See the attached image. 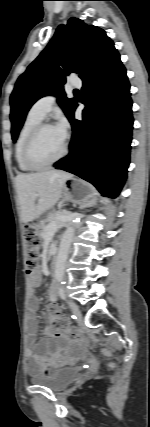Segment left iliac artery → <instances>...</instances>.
I'll return each instance as SVG.
<instances>
[{
	"mask_svg": "<svg viewBox=\"0 0 150 427\" xmlns=\"http://www.w3.org/2000/svg\"><path fill=\"white\" fill-rule=\"evenodd\" d=\"M58 294H59L61 299H66V294H65V290H64L63 286L58 287ZM74 318H75V316H74Z\"/></svg>",
	"mask_w": 150,
	"mask_h": 427,
	"instance_id": "obj_1",
	"label": "left iliac artery"
}]
</instances>
